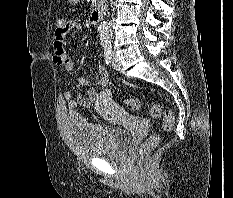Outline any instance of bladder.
I'll return each mask as SVG.
<instances>
[{
    "label": "bladder",
    "mask_w": 233,
    "mask_h": 198,
    "mask_svg": "<svg viewBox=\"0 0 233 198\" xmlns=\"http://www.w3.org/2000/svg\"><path fill=\"white\" fill-rule=\"evenodd\" d=\"M67 133L72 147L91 157H121L131 141L128 130L94 124L77 112L67 115Z\"/></svg>",
    "instance_id": "obj_1"
}]
</instances>
